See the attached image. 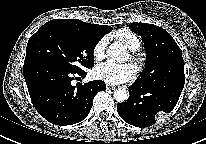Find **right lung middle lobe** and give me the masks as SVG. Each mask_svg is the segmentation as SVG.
<instances>
[{"instance_id":"right-lung-middle-lobe-1","label":"right lung middle lobe","mask_w":206,"mask_h":144,"mask_svg":"<svg viewBox=\"0 0 206 144\" xmlns=\"http://www.w3.org/2000/svg\"><path fill=\"white\" fill-rule=\"evenodd\" d=\"M101 39L73 25L49 21L29 39L24 66L49 64L72 72L91 68L94 48Z\"/></svg>"}]
</instances>
